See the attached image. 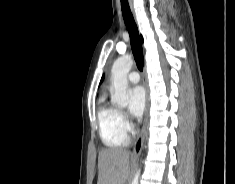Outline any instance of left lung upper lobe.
I'll use <instances>...</instances> for the list:
<instances>
[{
  "label": "left lung upper lobe",
  "instance_id": "obj_1",
  "mask_svg": "<svg viewBox=\"0 0 235 184\" xmlns=\"http://www.w3.org/2000/svg\"><path fill=\"white\" fill-rule=\"evenodd\" d=\"M103 79H104V75H103V77H102V79H101V82L103 81Z\"/></svg>",
  "mask_w": 235,
  "mask_h": 184
}]
</instances>
